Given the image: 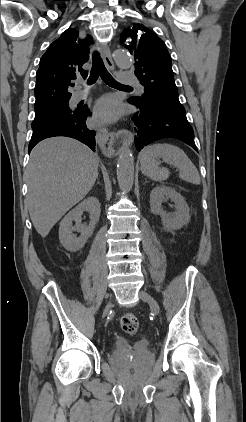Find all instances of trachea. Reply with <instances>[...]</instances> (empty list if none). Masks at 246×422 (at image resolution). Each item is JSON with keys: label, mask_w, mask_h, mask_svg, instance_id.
<instances>
[{"label": "trachea", "mask_w": 246, "mask_h": 422, "mask_svg": "<svg viewBox=\"0 0 246 422\" xmlns=\"http://www.w3.org/2000/svg\"><path fill=\"white\" fill-rule=\"evenodd\" d=\"M92 69L90 76L87 80L88 85L94 84L99 77L103 80L104 83L111 87H128L117 82L111 74L107 71L103 60L101 59L99 52L94 51L92 56Z\"/></svg>", "instance_id": "obj_1"}]
</instances>
